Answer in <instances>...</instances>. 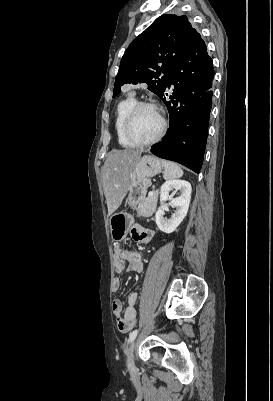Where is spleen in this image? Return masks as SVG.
<instances>
[{
    "instance_id": "spleen-1",
    "label": "spleen",
    "mask_w": 273,
    "mask_h": 401,
    "mask_svg": "<svg viewBox=\"0 0 273 401\" xmlns=\"http://www.w3.org/2000/svg\"><path fill=\"white\" fill-rule=\"evenodd\" d=\"M163 166H164V178L166 180H169V178H179V176H182L183 170L180 168L179 164H176V162H171V160H161Z\"/></svg>"
}]
</instances>
